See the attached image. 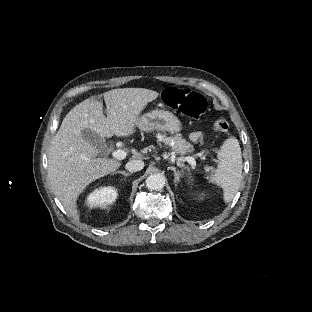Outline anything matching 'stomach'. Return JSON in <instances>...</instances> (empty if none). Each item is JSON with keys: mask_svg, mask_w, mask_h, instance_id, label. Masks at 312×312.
Masks as SVG:
<instances>
[{"mask_svg": "<svg viewBox=\"0 0 312 312\" xmlns=\"http://www.w3.org/2000/svg\"><path fill=\"white\" fill-rule=\"evenodd\" d=\"M136 126L142 131H168L171 133L180 132L182 124L171 112L155 109L138 117Z\"/></svg>", "mask_w": 312, "mask_h": 312, "instance_id": "0dacf381", "label": "stomach"}]
</instances>
